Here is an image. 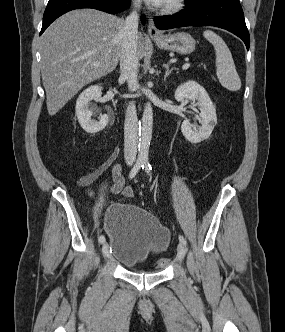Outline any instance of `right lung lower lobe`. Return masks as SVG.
<instances>
[{"label": "right lung lower lobe", "instance_id": "right-lung-lower-lobe-1", "mask_svg": "<svg viewBox=\"0 0 285 332\" xmlns=\"http://www.w3.org/2000/svg\"><path fill=\"white\" fill-rule=\"evenodd\" d=\"M130 0H49L43 16L40 35L62 14L79 8H94L107 13H119L128 7ZM141 21L145 19L142 16Z\"/></svg>", "mask_w": 285, "mask_h": 332}]
</instances>
